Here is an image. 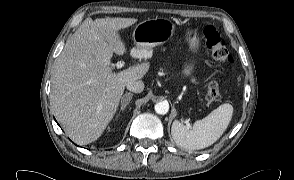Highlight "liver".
Returning a JSON list of instances; mask_svg holds the SVG:
<instances>
[{
  "label": "liver",
  "instance_id": "6515ba94",
  "mask_svg": "<svg viewBox=\"0 0 294 180\" xmlns=\"http://www.w3.org/2000/svg\"><path fill=\"white\" fill-rule=\"evenodd\" d=\"M135 18H87L54 63L51 105L66 134L79 145L97 140L113 119L126 84L141 79L149 64L112 71L113 53L126 52L119 31Z\"/></svg>",
  "mask_w": 294,
  "mask_h": 180
}]
</instances>
